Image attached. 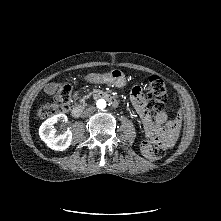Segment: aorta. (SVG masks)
I'll list each match as a JSON object with an SVG mask.
<instances>
[{"label": "aorta", "mask_w": 221, "mask_h": 221, "mask_svg": "<svg viewBox=\"0 0 221 221\" xmlns=\"http://www.w3.org/2000/svg\"><path fill=\"white\" fill-rule=\"evenodd\" d=\"M96 106L98 109H104L106 107V101L104 99H99L96 102Z\"/></svg>", "instance_id": "obj_1"}]
</instances>
